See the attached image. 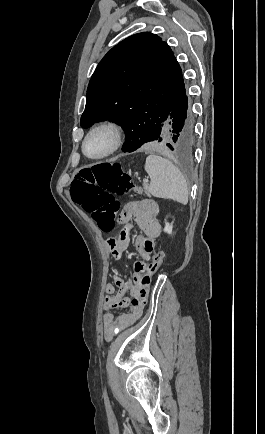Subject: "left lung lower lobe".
Segmentation results:
<instances>
[{"label": "left lung lower lobe", "instance_id": "0a47b994", "mask_svg": "<svg viewBox=\"0 0 265 434\" xmlns=\"http://www.w3.org/2000/svg\"><path fill=\"white\" fill-rule=\"evenodd\" d=\"M156 141L159 150L167 148L178 154H190L195 143L192 118L188 112L185 87L162 116L161 124L144 128L125 138L123 152H133L145 143Z\"/></svg>", "mask_w": 265, "mask_h": 434}]
</instances>
